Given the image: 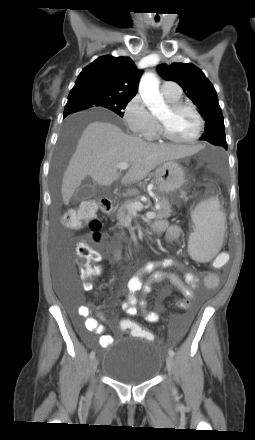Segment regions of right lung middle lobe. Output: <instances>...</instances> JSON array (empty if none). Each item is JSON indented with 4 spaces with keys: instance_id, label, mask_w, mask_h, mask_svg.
<instances>
[{
    "instance_id": "right-lung-middle-lobe-1",
    "label": "right lung middle lobe",
    "mask_w": 255,
    "mask_h": 440,
    "mask_svg": "<svg viewBox=\"0 0 255 440\" xmlns=\"http://www.w3.org/2000/svg\"><path fill=\"white\" fill-rule=\"evenodd\" d=\"M131 99L97 91L74 92L68 96L64 114L68 115L90 107H104L123 117L122 110Z\"/></svg>"
}]
</instances>
